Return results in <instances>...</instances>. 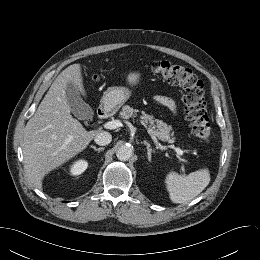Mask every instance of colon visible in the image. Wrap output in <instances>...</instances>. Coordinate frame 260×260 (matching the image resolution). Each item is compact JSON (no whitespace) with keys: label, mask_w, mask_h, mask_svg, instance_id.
Wrapping results in <instances>:
<instances>
[{"label":"colon","mask_w":260,"mask_h":260,"mask_svg":"<svg viewBox=\"0 0 260 260\" xmlns=\"http://www.w3.org/2000/svg\"><path fill=\"white\" fill-rule=\"evenodd\" d=\"M151 70L166 82L182 88L185 114L191 131L201 141H208L211 137V126L202 81L189 68L170 61H155Z\"/></svg>","instance_id":"obj_1"}]
</instances>
